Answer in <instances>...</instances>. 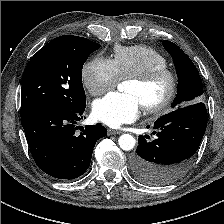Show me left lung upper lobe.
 I'll list each match as a JSON object with an SVG mask.
<instances>
[{
  "label": "left lung upper lobe",
  "instance_id": "5c2ea615",
  "mask_svg": "<svg viewBox=\"0 0 224 224\" xmlns=\"http://www.w3.org/2000/svg\"><path fill=\"white\" fill-rule=\"evenodd\" d=\"M163 46L172 56L178 76V94L172 107L180 108L202 101V81L193 62L176 44L164 40Z\"/></svg>",
  "mask_w": 224,
  "mask_h": 224
}]
</instances>
